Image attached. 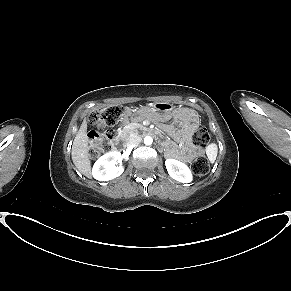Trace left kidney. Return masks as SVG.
Here are the masks:
<instances>
[{
    "mask_svg": "<svg viewBox=\"0 0 291 291\" xmlns=\"http://www.w3.org/2000/svg\"><path fill=\"white\" fill-rule=\"evenodd\" d=\"M165 165L171 178L181 183H190L192 181L191 170L183 162L175 159H166Z\"/></svg>",
    "mask_w": 291,
    "mask_h": 291,
    "instance_id": "1",
    "label": "left kidney"
}]
</instances>
